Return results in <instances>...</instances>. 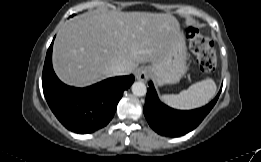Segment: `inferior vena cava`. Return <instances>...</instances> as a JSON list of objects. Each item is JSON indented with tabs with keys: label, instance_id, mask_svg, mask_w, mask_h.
<instances>
[{
	"label": "inferior vena cava",
	"instance_id": "obj_1",
	"mask_svg": "<svg viewBox=\"0 0 261 162\" xmlns=\"http://www.w3.org/2000/svg\"><path fill=\"white\" fill-rule=\"evenodd\" d=\"M112 71H113L114 76L128 75L131 73V70L129 68L122 66V65L115 66Z\"/></svg>",
	"mask_w": 261,
	"mask_h": 162
}]
</instances>
